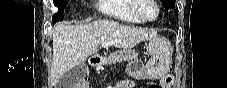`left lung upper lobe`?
I'll list each match as a JSON object with an SVG mask.
<instances>
[{
    "label": "left lung upper lobe",
    "instance_id": "1",
    "mask_svg": "<svg viewBox=\"0 0 227 88\" xmlns=\"http://www.w3.org/2000/svg\"><path fill=\"white\" fill-rule=\"evenodd\" d=\"M161 1L166 10L173 9L175 6V0H161Z\"/></svg>",
    "mask_w": 227,
    "mask_h": 88
}]
</instances>
